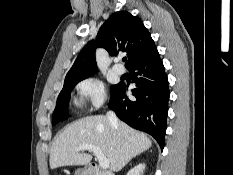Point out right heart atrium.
<instances>
[{"label": "right heart atrium", "mask_w": 233, "mask_h": 175, "mask_svg": "<svg viewBox=\"0 0 233 175\" xmlns=\"http://www.w3.org/2000/svg\"><path fill=\"white\" fill-rule=\"evenodd\" d=\"M76 91L81 102L88 104L94 110L100 108L106 99L105 85L96 77H86L79 81Z\"/></svg>", "instance_id": "1"}]
</instances>
